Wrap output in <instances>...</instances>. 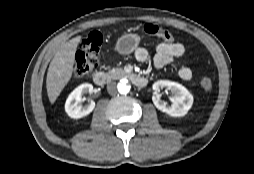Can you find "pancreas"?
I'll list each match as a JSON object with an SVG mask.
<instances>
[{
    "label": "pancreas",
    "instance_id": "1",
    "mask_svg": "<svg viewBox=\"0 0 254 174\" xmlns=\"http://www.w3.org/2000/svg\"><path fill=\"white\" fill-rule=\"evenodd\" d=\"M125 74H126L125 71L121 68H113L108 71V75L112 79L123 77Z\"/></svg>",
    "mask_w": 254,
    "mask_h": 174
}]
</instances>
